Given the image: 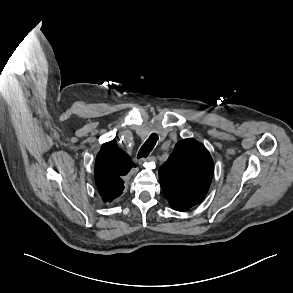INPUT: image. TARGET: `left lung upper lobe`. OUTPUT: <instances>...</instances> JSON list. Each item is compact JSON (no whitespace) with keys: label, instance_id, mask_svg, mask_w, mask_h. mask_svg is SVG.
I'll use <instances>...</instances> for the list:
<instances>
[{"label":"left lung upper lobe","instance_id":"obj_1","mask_svg":"<svg viewBox=\"0 0 293 293\" xmlns=\"http://www.w3.org/2000/svg\"><path fill=\"white\" fill-rule=\"evenodd\" d=\"M213 173L208 150L194 139H184L159 169V179L171 207L187 211L204 199Z\"/></svg>","mask_w":293,"mask_h":293}]
</instances>
